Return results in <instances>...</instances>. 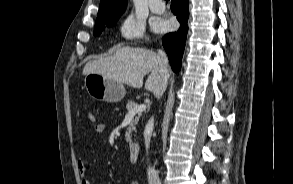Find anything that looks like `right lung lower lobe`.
Segmentation results:
<instances>
[{
    "mask_svg": "<svg viewBox=\"0 0 293 184\" xmlns=\"http://www.w3.org/2000/svg\"><path fill=\"white\" fill-rule=\"evenodd\" d=\"M171 10L177 15L180 28L177 32L169 33L164 36L162 44L169 57L172 70L179 72L181 69L182 56L188 30V0H171Z\"/></svg>",
    "mask_w": 293,
    "mask_h": 184,
    "instance_id": "1",
    "label": "right lung lower lobe"
}]
</instances>
